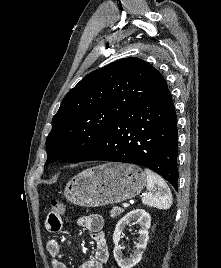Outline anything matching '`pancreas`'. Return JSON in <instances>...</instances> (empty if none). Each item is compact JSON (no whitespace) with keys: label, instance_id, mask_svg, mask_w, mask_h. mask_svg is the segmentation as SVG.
I'll list each match as a JSON object with an SVG mask.
<instances>
[{"label":"pancreas","instance_id":"1","mask_svg":"<svg viewBox=\"0 0 221 268\" xmlns=\"http://www.w3.org/2000/svg\"><path fill=\"white\" fill-rule=\"evenodd\" d=\"M124 212V209L120 208V207H113L112 210L110 211V216L112 218H115L117 216H119L121 213Z\"/></svg>","mask_w":221,"mask_h":268}]
</instances>
